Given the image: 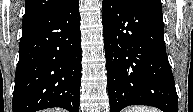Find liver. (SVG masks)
<instances>
[{"instance_id":"liver-1","label":"liver","mask_w":193,"mask_h":112,"mask_svg":"<svg viewBox=\"0 0 193 112\" xmlns=\"http://www.w3.org/2000/svg\"><path fill=\"white\" fill-rule=\"evenodd\" d=\"M46 112H64V111L61 109H50V110H47Z\"/></svg>"}]
</instances>
